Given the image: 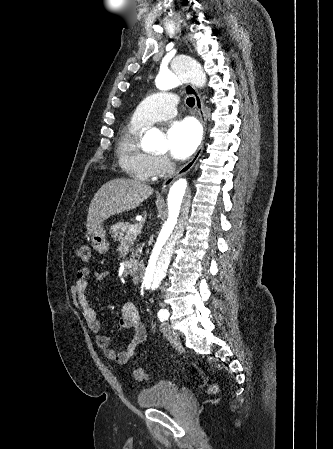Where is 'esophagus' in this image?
<instances>
[{"label": "esophagus", "instance_id": "esophagus-1", "mask_svg": "<svg viewBox=\"0 0 333 449\" xmlns=\"http://www.w3.org/2000/svg\"><path fill=\"white\" fill-rule=\"evenodd\" d=\"M185 92L192 96L195 100V107L199 116V119L201 123L203 124L204 128L206 129L207 121H206V114L204 109V103L201 98L200 93L197 91V89L192 84H186L185 85ZM203 144L200 145L198 150L195 152L194 156L191 158V160L186 163L175 175L171 176L167 180L164 181L162 185V191H165L175 180L178 178L184 176L186 173H188L200 157L203 151Z\"/></svg>", "mask_w": 333, "mask_h": 449}]
</instances>
